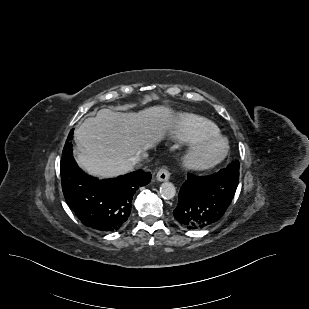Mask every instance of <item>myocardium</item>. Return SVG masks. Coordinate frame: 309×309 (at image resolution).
<instances>
[{
    "instance_id": "f54148a6",
    "label": "myocardium",
    "mask_w": 309,
    "mask_h": 309,
    "mask_svg": "<svg viewBox=\"0 0 309 309\" xmlns=\"http://www.w3.org/2000/svg\"><path fill=\"white\" fill-rule=\"evenodd\" d=\"M229 152V144L220 135L204 136L191 141L186 147L182 161L186 168L204 171L218 165Z\"/></svg>"
}]
</instances>
